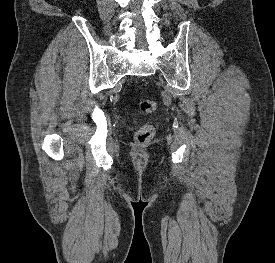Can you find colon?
Segmentation results:
<instances>
[{"mask_svg":"<svg viewBox=\"0 0 275 263\" xmlns=\"http://www.w3.org/2000/svg\"><path fill=\"white\" fill-rule=\"evenodd\" d=\"M140 113L149 115L155 112L156 102L152 99H142L138 102ZM155 129L151 124H143L135 132V141L140 145L148 143L154 136Z\"/></svg>","mask_w":275,"mask_h":263,"instance_id":"colon-1","label":"colon"}]
</instances>
